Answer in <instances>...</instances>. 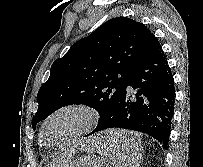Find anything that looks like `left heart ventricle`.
Masks as SVG:
<instances>
[{
	"label": "left heart ventricle",
	"instance_id": "b2bd125f",
	"mask_svg": "<svg viewBox=\"0 0 203 167\" xmlns=\"http://www.w3.org/2000/svg\"><path fill=\"white\" fill-rule=\"evenodd\" d=\"M81 122V118L75 113H65L55 118L46 128L45 140L47 143H55L73 132Z\"/></svg>",
	"mask_w": 203,
	"mask_h": 167
}]
</instances>
